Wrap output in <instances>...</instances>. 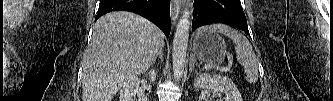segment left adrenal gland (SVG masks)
Returning a JSON list of instances; mask_svg holds the SVG:
<instances>
[{"label": "left adrenal gland", "mask_w": 333, "mask_h": 101, "mask_svg": "<svg viewBox=\"0 0 333 101\" xmlns=\"http://www.w3.org/2000/svg\"><path fill=\"white\" fill-rule=\"evenodd\" d=\"M197 66L198 68H200L199 64L197 63L196 59L194 58V56L190 57V64H189V71L192 72L194 69V66Z\"/></svg>", "instance_id": "a2214340"}]
</instances>
